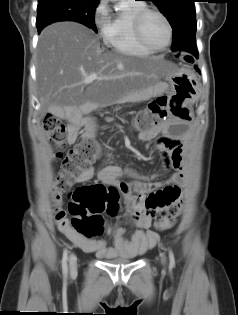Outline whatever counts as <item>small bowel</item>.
Here are the masks:
<instances>
[{
  "label": "small bowel",
  "mask_w": 238,
  "mask_h": 315,
  "mask_svg": "<svg viewBox=\"0 0 238 315\" xmlns=\"http://www.w3.org/2000/svg\"><path fill=\"white\" fill-rule=\"evenodd\" d=\"M83 124L89 131L96 126L91 120L72 119L68 138L70 143L76 141L79 128ZM159 133L166 134V128L156 127L149 131H140L138 139L149 142ZM151 145L158 147L162 152V171H175L166 181H157L161 172L143 175L130 167H121L110 162H105L98 171L88 167L74 179L76 183H86L97 176L101 182L115 186L123 195L125 211L122 219L107 230L108 235L113 239L112 245H108L103 239L88 238L82 233H75L70 219L59 208L61 193L57 192L53 195L52 202L55 207V221L60 232L82 250L94 252L103 259L133 258L153 247L159 240V235L150 229L152 220H158V224L165 223L166 229L174 225L182 203L179 185L186 182L188 171L182 140H172L171 137L163 140L162 137H155ZM123 178H128L130 181H124ZM125 223H130L137 228L130 239L125 236L126 230L123 226Z\"/></svg>",
  "instance_id": "small-bowel-1"
}]
</instances>
